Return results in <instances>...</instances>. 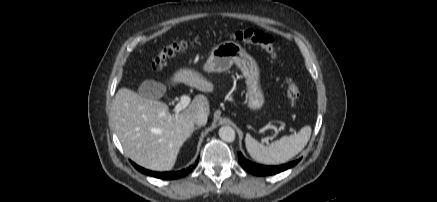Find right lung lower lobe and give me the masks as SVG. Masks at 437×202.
<instances>
[{
    "label": "right lung lower lobe",
    "instance_id": "1",
    "mask_svg": "<svg viewBox=\"0 0 437 202\" xmlns=\"http://www.w3.org/2000/svg\"><path fill=\"white\" fill-rule=\"evenodd\" d=\"M198 159H197V161L195 162L194 165L190 166L187 169H183V170L177 171V172H162V173L149 171V170H146V169L136 165L133 162H131V163L141 173H144V174L156 177V178H160V179H177V178H180V177H184L188 173H190L195 168V166L197 165Z\"/></svg>",
    "mask_w": 437,
    "mask_h": 202
}]
</instances>
